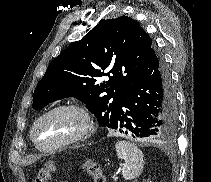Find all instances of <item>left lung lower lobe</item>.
<instances>
[{"label": "left lung lower lobe", "mask_w": 211, "mask_h": 182, "mask_svg": "<svg viewBox=\"0 0 211 182\" xmlns=\"http://www.w3.org/2000/svg\"><path fill=\"white\" fill-rule=\"evenodd\" d=\"M172 79L163 55L153 47L120 104L115 129L134 138L153 139L177 125Z\"/></svg>", "instance_id": "left-lung-lower-lobe-1"}]
</instances>
